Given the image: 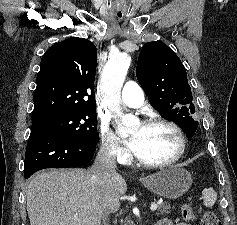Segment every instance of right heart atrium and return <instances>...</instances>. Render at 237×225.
Returning <instances> with one entry per match:
<instances>
[{
  "label": "right heart atrium",
  "instance_id": "right-heart-atrium-1",
  "mask_svg": "<svg viewBox=\"0 0 237 225\" xmlns=\"http://www.w3.org/2000/svg\"><path fill=\"white\" fill-rule=\"evenodd\" d=\"M99 134L101 149L106 156L118 162H126L129 159L127 151L122 147L119 138L107 122L100 123Z\"/></svg>",
  "mask_w": 237,
  "mask_h": 225
}]
</instances>
